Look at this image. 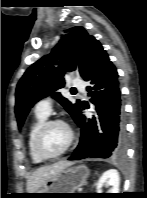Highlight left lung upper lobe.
<instances>
[{
  "label": "left lung upper lobe",
  "mask_w": 147,
  "mask_h": 198,
  "mask_svg": "<svg viewBox=\"0 0 147 198\" xmlns=\"http://www.w3.org/2000/svg\"><path fill=\"white\" fill-rule=\"evenodd\" d=\"M94 40L83 27L66 30L52 52L30 66L20 79L16 88L15 113L18 127L24 124L30 108L41 98L50 94L64 106L77 122L81 112V102L72 104L56 90L64 86L65 71L79 68L85 79L88 61Z\"/></svg>",
  "instance_id": "left-lung-upper-lobe-1"
}]
</instances>
